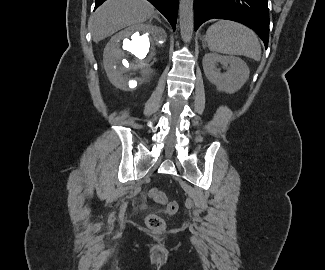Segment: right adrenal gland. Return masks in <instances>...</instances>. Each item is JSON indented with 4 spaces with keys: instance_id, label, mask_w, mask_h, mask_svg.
<instances>
[{
    "instance_id": "2a0ac1e0",
    "label": "right adrenal gland",
    "mask_w": 325,
    "mask_h": 270,
    "mask_svg": "<svg viewBox=\"0 0 325 270\" xmlns=\"http://www.w3.org/2000/svg\"><path fill=\"white\" fill-rule=\"evenodd\" d=\"M153 18H155V19H157L159 22H161L160 18H159L156 14H155L151 19H150V21H151Z\"/></svg>"
}]
</instances>
